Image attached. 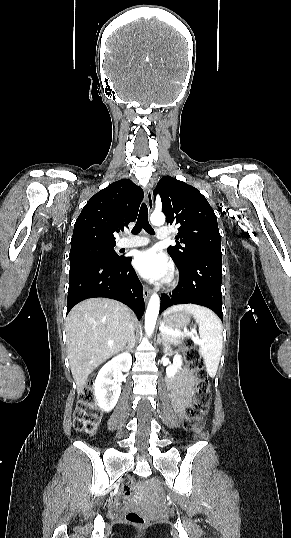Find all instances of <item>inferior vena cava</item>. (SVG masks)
Listing matches in <instances>:
<instances>
[{
  "instance_id": "1",
  "label": "inferior vena cava",
  "mask_w": 291,
  "mask_h": 538,
  "mask_svg": "<svg viewBox=\"0 0 291 538\" xmlns=\"http://www.w3.org/2000/svg\"><path fill=\"white\" fill-rule=\"evenodd\" d=\"M129 339L132 341V338H133V326H132V323L130 324L129 326Z\"/></svg>"
}]
</instances>
